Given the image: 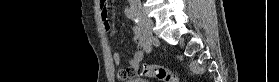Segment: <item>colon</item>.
<instances>
[{
    "instance_id": "5ec220e1",
    "label": "colon",
    "mask_w": 279,
    "mask_h": 82,
    "mask_svg": "<svg viewBox=\"0 0 279 82\" xmlns=\"http://www.w3.org/2000/svg\"><path fill=\"white\" fill-rule=\"evenodd\" d=\"M139 75L154 78L160 82H178L175 73L162 65L146 64L139 70Z\"/></svg>"
}]
</instances>
